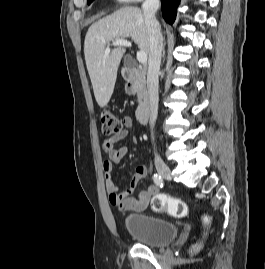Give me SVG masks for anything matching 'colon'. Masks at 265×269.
<instances>
[{"mask_svg": "<svg viewBox=\"0 0 265 269\" xmlns=\"http://www.w3.org/2000/svg\"><path fill=\"white\" fill-rule=\"evenodd\" d=\"M102 133L107 138H113L121 134L123 124L120 119L110 111L100 114ZM152 208L156 212H165L175 217H185L188 213L187 204L177 198L166 194H158L153 197Z\"/></svg>", "mask_w": 265, "mask_h": 269, "instance_id": "obj_1", "label": "colon"}]
</instances>
